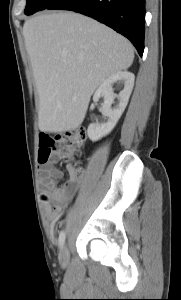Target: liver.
Segmentation results:
<instances>
[{
    "mask_svg": "<svg viewBox=\"0 0 181 300\" xmlns=\"http://www.w3.org/2000/svg\"><path fill=\"white\" fill-rule=\"evenodd\" d=\"M23 35L39 95L40 131L78 128L90 98L108 77L128 69L132 44L109 27L71 11L39 14Z\"/></svg>",
    "mask_w": 181,
    "mask_h": 300,
    "instance_id": "liver-1",
    "label": "liver"
}]
</instances>
